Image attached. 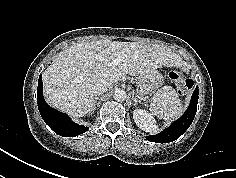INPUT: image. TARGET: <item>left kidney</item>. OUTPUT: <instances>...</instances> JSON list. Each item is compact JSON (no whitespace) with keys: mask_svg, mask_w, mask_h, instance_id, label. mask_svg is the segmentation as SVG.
<instances>
[{"mask_svg":"<svg viewBox=\"0 0 236 178\" xmlns=\"http://www.w3.org/2000/svg\"><path fill=\"white\" fill-rule=\"evenodd\" d=\"M133 119L136 125L146 132L157 133L158 126L151 113L144 109H135L133 111Z\"/></svg>","mask_w":236,"mask_h":178,"instance_id":"left-kidney-1","label":"left kidney"}]
</instances>
